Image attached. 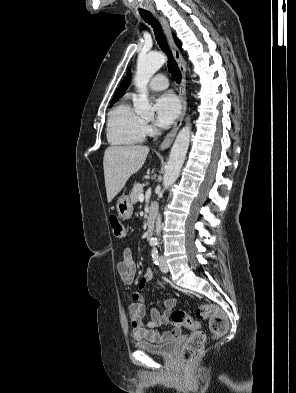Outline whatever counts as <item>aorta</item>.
<instances>
[{
  "instance_id": "1",
  "label": "aorta",
  "mask_w": 296,
  "mask_h": 393,
  "mask_svg": "<svg viewBox=\"0 0 296 393\" xmlns=\"http://www.w3.org/2000/svg\"><path fill=\"white\" fill-rule=\"evenodd\" d=\"M165 61V56L160 52L141 53L139 55L137 71L134 78L135 85L140 92L138 99L134 101L135 112L137 114H153L146 87L150 78L162 67ZM190 135L191 125L187 124L179 131L175 139L163 178L164 189H168L179 177L189 147Z\"/></svg>"
}]
</instances>
